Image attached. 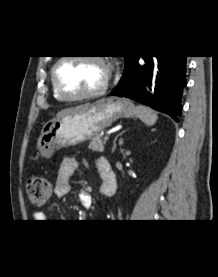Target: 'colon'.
I'll list each match as a JSON object with an SVG mask.
<instances>
[{"label":"colon","mask_w":218,"mask_h":277,"mask_svg":"<svg viewBox=\"0 0 218 277\" xmlns=\"http://www.w3.org/2000/svg\"><path fill=\"white\" fill-rule=\"evenodd\" d=\"M26 191L31 204L42 206L53 193L52 183L41 176H32L27 180Z\"/></svg>","instance_id":"5ec220e1"}]
</instances>
